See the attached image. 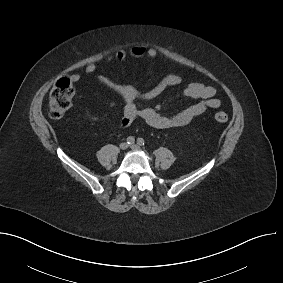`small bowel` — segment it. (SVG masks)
I'll use <instances>...</instances> for the list:
<instances>
[{"instance_id": "obj_1", "label": "small bowel", "mask_w": 283, "mask_h": 283, "mask_svg": "<svg viewBox=\"0 0 283 283\" xmlns=\"http://www.w3.org/2000/svg\"><path fill=\"white\" fill-rule=\"evenodd\" d=\"M157 54V50L153 47L136 45L129 50H117L107 58V61L124 62L129 57L154 59ZM96 71L97 66L93 63L85 67L87 74H95ZM70 78L73 82H78L81 79L79 74H72ZM96 78L101 84L122 97L124 110L121 127L123 128H128L137 119H141L148 125L158 129L182 127L190 124L197 116L208 109L218 108L221 104L220 100L215 97L216 89L213 86L193 82L185 87L183 94L188 98L196 99L197 102L177 114L165 116L160 113L161 105L149 107L144 105L143 102L158 97L167 87L180 84L182 77L179 74H166L152 90L143 94L139 93L134 87L116 83L105 75L97 74Z\"/></svg>"}]
</instances>
